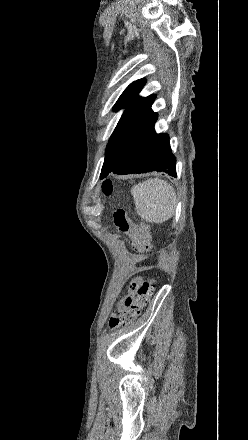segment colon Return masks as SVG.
Listing matches in <instances>:
<instances>
[{"label": "colon", "instance_id": "1", "mask_svg": "<svg viewBox=\"0 0 248 440\" xmlns=\"http://www.w3.org/2000/svg\"><path fill=\"white\" fill-rule=\"evenodd\" d=\"M103 190L105 193H109L111 190L110 184H105ZM114 222L122 232H128L131 229L129 219L122 210L114 214ZM139 228L140 236L137 249L142 252H151L153 246L150 225L143 222ZM154 286L155 281L153 278L137 277L133 279L123 302V310L116 312L109 319L110 329L116 330L130 325L146 307Z\"/></svg>", "mask_w": 248, "mask_h": 440}]
</instances>
